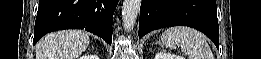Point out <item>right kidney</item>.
<instances>
[{
  "instance_id": "right-kidney-1",
  "label": "right kidney",
  "mask_w": 261,
  "mask_h": 59,
  "mask_svg": "<svg viewBox=\"0 0 261 59\" xmlns=\"http://www.w3.org/2000/svg\"><path fill=\"white\" fill-rule=\"evenodd\" d=\"M80 59H98V57L88 56V57H80Z\"/></svg>"
}]
</instances>
